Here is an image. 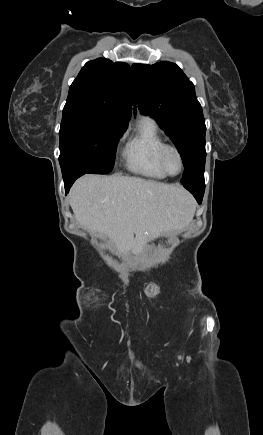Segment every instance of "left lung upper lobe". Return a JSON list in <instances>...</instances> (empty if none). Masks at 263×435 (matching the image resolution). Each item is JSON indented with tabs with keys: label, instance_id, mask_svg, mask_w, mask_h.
<instances>
[{
	"label": "left lung upper lobe",
	"instance_id": "left-lung-upper-lobe-1",
	"mask_svg": "<svg viewBox=\"0 0 263 435\" xmlns=\"http://www.w3.org/2000/svg\"><path fill=\"white\" fill-rule=\"evenodd\" d=\"M137 103L176 145L184 164L182 184L204 178L205 121L193 83L174 63L133 64Z\"/></svg>",
	"mask_w": 263,
	"mask_h": 435
}]
</instances>
